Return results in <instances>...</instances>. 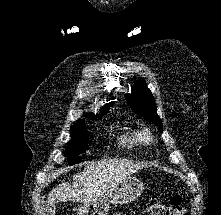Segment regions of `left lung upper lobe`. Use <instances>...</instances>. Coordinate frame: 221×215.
<instances>
[{
	"instance_id": "obj_1",
	"label": "left lung upper lobe",
	"mask_w": 221,
	"mask_h": 215,
	"mask_svg": "<svg viewBox=\"0 0 221 215\" xmlns=\"http://www.w3.org/2000/svg\"><path fill=\"white\" fill-rule=\"evenodd\" d=\"M126 99L137 114L145 116L147 120L157 125L160 131L162 130L160 118L156 113L154 97L142 78L136 81L131 94H127Z\"/></svg>"
}]
</instances>
